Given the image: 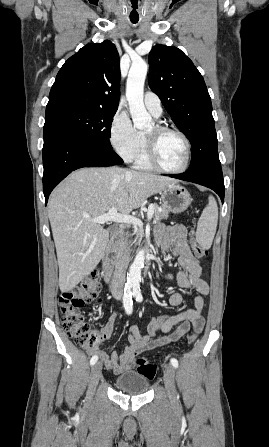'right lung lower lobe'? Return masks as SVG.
Masks as SVG:
<instances>
[{
    "mask_svg": "<svg viewBox=\"0 0 269 447\" xmlns=\"http://www.w3.org/2000/svg\"><path fill=\"white\" fill-rule=\"evenodd\" d=\"M123 160L110 148L73 133L65 126L45 122L43 191L46 200L54 187L82 167H108Z\"/></svg>",
    "mask_w": 269,
    "mask_h": 447,
    "instance_id": "1",
    "label": "right lung lower lobe"
}]
</instances>
